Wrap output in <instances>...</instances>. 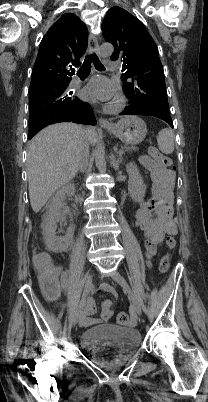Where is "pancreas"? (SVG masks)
I'll list each match as a JSON object with an SVG mask.
<instances>
[{
  "mask_svg": "<svg viewBox=\"0 0 208 402\" xmlns=\"http://www.w3.org/2000/svg\"><path fill=\"white\" fill-rule=\"evenodd\" d=\"M130 150H138V148H134V146H129V148L124 146V148H122V152H130Z\"/></svg>",
  "mask_w": 208,
  "mask_h": 402,
  "instance_id": "pancreas-1",
  "label": "pancreas"
}]
</instances>
